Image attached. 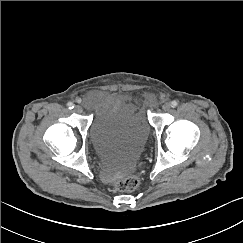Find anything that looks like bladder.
I'll list each match as a JSON object with an SVG mask.
<instances>
[{"label": "bladder", "mask_w": 243, "mask_h": 243, "mask_svg": "<svg viewBox=\"0 0 243 243\" xmlns=\"http://www.w3.org/2000/svg\"><path fill=\"white\" fill-rule=\"evenodd\" d=\"M88 133L95 151L120 175L135 167L149 136L135 104L125 98L97 110Z\"/></svg>", "instance_id": "1"}]
</instances>
